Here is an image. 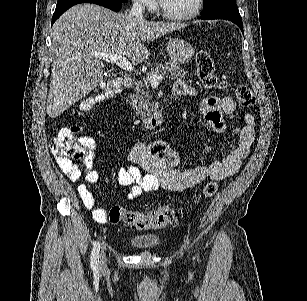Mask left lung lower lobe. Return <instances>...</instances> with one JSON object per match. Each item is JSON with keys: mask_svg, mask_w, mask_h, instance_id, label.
<instances>
[{"mask_svg": "<svg viewBox=\"0 0 307 301\" xmlns=\"http://www.w3.org/2000/svg\"><path fill=\"white\" fill-rule=\"evenodd\" d=\"M201 19H204V18L201 17ZM226 20H230V21H232L233 23H235V24L241 29V31H242V33H243L242 19H240V20L226 19Z\"/></svg>", "mask_w": 307, "mask_h": 301, "instance_id": "0a47b994", "label": "left lung lower lobe"}]
</instances>
